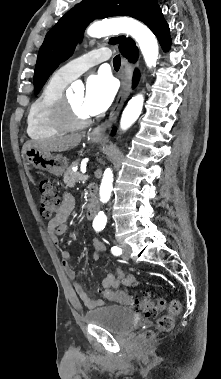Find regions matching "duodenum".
<instances>
[{"mask_svg": "<svg viewBox=\"0 0 221 379\" xmlns=\"http://www.w3.org/2000/svg\"><path fill=\"white\" fill-rule=\"evenodd\" d=\"M90 193H91V198H90L88 208H87L88 218H92L95 215V213L97 212L98 207H99V201H98V198L96 196L94 187L90 188Z\"/></svg>", "mask_w": 221, "mask_h": 379, "instance_id": "duodenum-1", "label": "duodenum"}]
</instances>
